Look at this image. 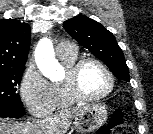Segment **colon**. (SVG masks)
<instances>
[{"label":"colon","mask_w":153,"mask_h":134,"mask_svg":"<svg viewBox=\"0 0 153 134\" xmlns=\"http://www.w3.org/2000/svg\"><path fill=\"white\" fill-rule=\"evenodd\" d=\"M131 127L125 121L122 110H116L109 118L106 125L102 126L96 134H132Z\"/></svg>","instance_id":"1"}]
</instances>
